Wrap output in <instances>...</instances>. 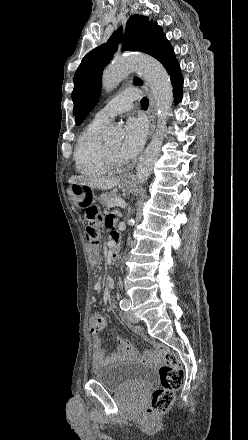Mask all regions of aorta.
<instances>
[{"label":"aorta","instance_id":"1","mask_svg":"<svg viewBox=\"0 0 248 440\" xmlns=\"http://www.w3.org/2000/svg\"><path fill=\"white\" fill-rule=\"evenodd\" d=\"M138 71L149 83L155 98L158 129L151 142L139 158L136 177L140 183L145 182L152 173L160 155L165 135L166 120L173 103V89L170 77L164 67L155 59L145 56H127L115 59L103 72L102 88L105 92L113 91L130 73ZM121 129L110 126L105 131L108 139L120 138ZM133 219L128 220L132 224Z\"/></svg>","mask_w":248,"mask_h":440}]
</instances>
